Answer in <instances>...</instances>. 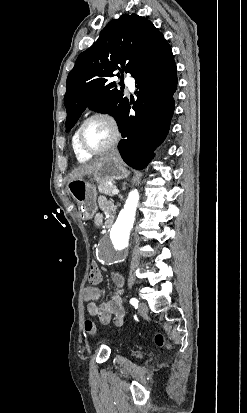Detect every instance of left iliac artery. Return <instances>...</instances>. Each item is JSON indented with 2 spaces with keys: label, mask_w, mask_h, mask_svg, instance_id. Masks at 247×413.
I'll return each instance as SVG.
<instances>
[{
  "label": "left iliac artery",
  "mask_w": 247,
  "mask_h": 413,
  "mask_svg": "<svg viewBox=\"0 0 247 413\" xmlns=\"http://www.w3.org/2000/svg\"><path fill=\"white\" fill-rule=\"evenodd\" d=\"M130 303H131L133 306H138V300H137L136 298H132V299L130 300Z\"/></svg>",
  "instance_id": "1"
}]
</instances>
